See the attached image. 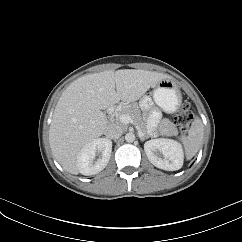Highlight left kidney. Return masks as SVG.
I'll return each instance as SVG.
<instances>
[{"instance_id":"1","label":"left kidney","mask_w":242,"mask_h":242,"mask_svg":"<svg viewBox=\"0 0 242 242\" xmlns=\"http://www.w3.org/2000/svg\"><path fill=\"white\" fill-rule=\"evenodd\" d=\"M149 161L166 171L179 170L183 165V149L180 143L171 139H152L144 144Z\"/></svg>"}]
</instances>
